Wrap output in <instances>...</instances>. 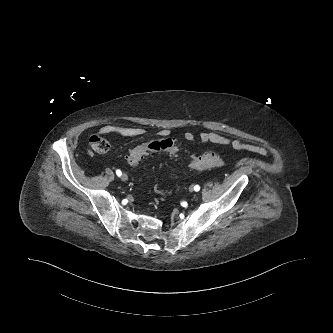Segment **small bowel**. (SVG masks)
<instances>
[{"instance_id":"small-bowel-1","label":"small bowel","mask_w":333,"mask_h":333,"mask_svg":"<svg viewBox=\"0 0 333 333\" xmlns=\"http://www.w3.org/2000/svg\"><path fill=\"white\" fill-rule=\"evenodd\" d=\"M145 132H146V129L141 126L125 127V126L109 124V125L103 126L99 130L98 134L101 136L120 135V136H124V137H138V136L144 135ZM158 136H159L158 140L171 138L170 131L168 129H161L158 133ZM183 138L188 142H198V143H202V144L214 143V144H218V145L232 146L234 148L246 149V150H249L252 152H257L260 154L266 153V149L263 148L262 146L244 143L237 138L224 136V135L218 134L216 132H212V131H202V132H199L198 134H195L194 132L187 130L183 133ZM145 144H147V143H145Z\"/></svg>"}]
</instances>
